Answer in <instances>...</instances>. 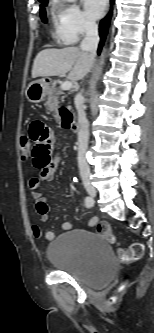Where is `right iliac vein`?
<instances>
[{"mask_svg":"<svg viewBox=\"0 0 154 333\" xmlns=\"http://www.w3.org/2000/svg\"><path fill=\"white\" fill-rule=\"evenodd\" d=\"M83 185L87 191V193L92 197H96V189L95 187L91 184V181L88 177H83Z\"/></svg>","mask_w":154,"mask_h":333,"instance_id":"63e3f726","label":"right iliac vein"}]
</instances>
